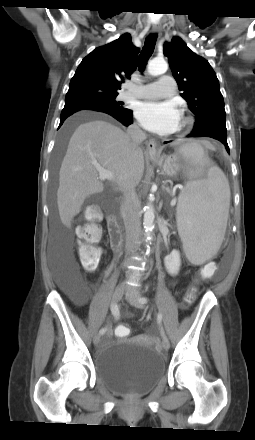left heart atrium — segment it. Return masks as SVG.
<instances>
[{"label": "left heart atrium", "instance_id": "obj_1", "mask_svg": "<svg viewBox=\"0 0 255 440\" xmlns=\"http://www.w3.org/2000/svg\"><path fill=\"white\" fill-rule=\"evenodd\" d=\"M135 115L142 127L161 135L175 132L181 121L179 110L169 101L142 102L137 106Z\"/></svg>", "mask_w": 255, "mask_h": 440}]
</instances>
